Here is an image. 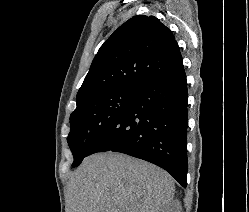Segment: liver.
Listing matches in <instances>:
<instances>
[{"instance_id":"6515ba94","label":"liver","mask_w":249,"mask_h":212,"mask_svg":"<svg viewBox=\"0 0 249 212\" xmlns=\"http://www.w3.org/2000/svg\"><path fill=\"white\" fill-rule=\"evenodd\" d=\"M173 178L144 160L106 152L84 158L71 174L67 212L171 210Z\"/></svg>"}]
</instances>
